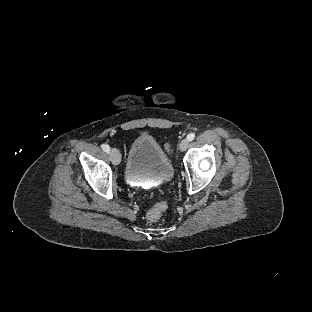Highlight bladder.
Wrapping results in <instances>:
<instances>
[{"label": "bladder", "mask_w": 312, "mask_h": 312, "mask_svg": "<svg viewBox=\"0 0 312 312\" xmlns=\"http://www.w3.org/2000/svg\"><path fill=\"white\" fill-rule=\"evenodd\" d=\"M172 172L169 156L152 135L139 134L132 140L125 163L127 177L167 180Z\"/></svg>", "instance_id": "31cf9c89"}]
</instances>
